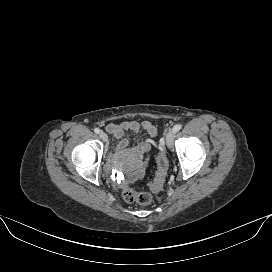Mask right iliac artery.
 <instances>
[{
  "instance_id": "82829eb1",
  "label": "right iliac artery",
  "mask_w": 272,
  "mask_h": 272,
  "mask_svg": "<svg viewBox=\"0 0 272 272\" xmlns=\"http://www.w3.org/2000/svg\"><path fill=\"white\" fill-rule=\"evenodd\" d=\"M94 132L97 133V134H99L100 133V129L99 128H95Z\"/></svg>"
}]
</instances>
